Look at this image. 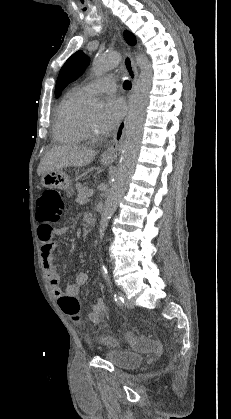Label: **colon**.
Segmentation results:
<instances>
[{
  "label": "colon",
  "mask_w": 231,
  "mask_h": 419,
  "mask_svg": "<svg viewBox=\"0 0 231 419\" xmlns=\"http://www.w3.org/2000/svg\"><path fill=\"white\" fill-rule=\"evenodd\" d=\"M64 201L61 191L48 189L44 191L37 200L36 217L43 223H57L64 213ZM61 310L74 322H80V305L78 300L72 296H61L58 299ZM103 343L111 346L118 344L113 338H104Z\"/></svg>",
  "instance_id": "obj_1"
}]
</instances>
